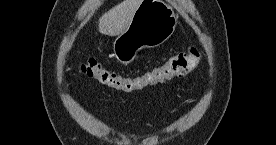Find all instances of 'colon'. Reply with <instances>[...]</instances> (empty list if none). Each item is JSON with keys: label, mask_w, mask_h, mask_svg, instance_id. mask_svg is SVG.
<instances>
[{"label": "colon", "mask_w": 276, "mask_h": 145, "mask_svg": "<svg viewBox=\"0 0 276 145\" xmlns=\"http://www.w3.org/2000/svg\"><path fill=\"white\" fill-rule=\"evenodd\" d=\"M200 61L199 50L196 47H191L185 52L173 54L164 64L135 77L107 69L92 58L81 62L79 69L84 76L102 86L125 93H132L164 84L174 78L183 76L195 69Z\"/></svg>", "instance_id": "obj_1"}]
</instances>
